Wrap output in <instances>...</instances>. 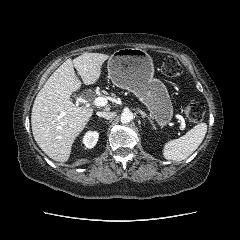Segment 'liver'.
Returning a JSON list of instances; mask_svg holds the SVG:
<instances>
[{"label": "liver", "instance_id": "6515ba94", "mask_svg": "<svg viewBox=\"0 0 240 240\" xmlns=\"http://www.w3.org/2000/svg\"><path fill=\"white\" fill-rule=\"evenodd\" d=\"M110 58L101 53H83L73 61L67 59L46 81L35 98L31 125L38 146L55 161H68L72 145L90 120L93 109L78 107L71 100L73 92L96 83L103 63Z\"/></svg>", "mask_w": 240, "mask_h": 240}]
</instances>
